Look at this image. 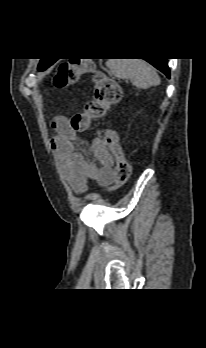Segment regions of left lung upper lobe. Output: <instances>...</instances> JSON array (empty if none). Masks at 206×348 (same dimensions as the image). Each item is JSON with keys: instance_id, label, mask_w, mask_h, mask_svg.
Returning <instances> with one entry per match:
<instances>
[{"instance_id": "5c2ea615", "label": "left lung upper lobe", "mask_w": 206, "mask_h": 348, "mask_svg": "<svg viewBox=\"0 0 206 348\" xmlns=\"http://www.w3.org/2000/svg\"><path fill=\"white\" fill-rule=\"evenodd\" d=\"M53 64V61L46 60V59H41L39 65H38V70L43 71L46 68H48L50 65Z\"/></svg>"}]
</instances>
